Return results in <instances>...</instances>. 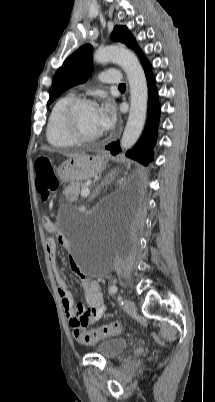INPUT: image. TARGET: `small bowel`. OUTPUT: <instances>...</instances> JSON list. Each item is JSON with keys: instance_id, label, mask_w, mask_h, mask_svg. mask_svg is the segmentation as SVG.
Instances as JSON below:
<instances>
[{"instance_id": "obj_1", "label": "small bowel", "mask_w": 215, "mask_h": 402, "mask_svg": "<svg viewBox=\"0 0 215 402\" xmlns=\"http://www.w3.org/2000/svg\"><path fill=\"white\" fill-rule=\"evenodd\" d=\"M46 230L56 233L59 245L64 248L69 247L67 237L56 229L54 223ZM46 249L58 284V293L61 298L62 307L70 326L74 329L75 327L91 325L100 320L106 311L100 284L95 279L82 274L76 263L72 261L71 268L81 278L88 308L81 304L75 305L74 299L67 289L66 281L62 277L57 265V243L53 238H47Z\"/></svg>"}]
</instances>
